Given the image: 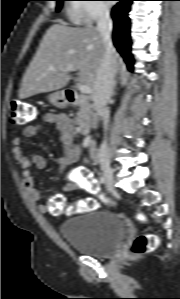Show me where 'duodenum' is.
I'll return each mask as SVG.
<instances>
[{
	"mask_svg": "<svg viewBox=\"0 0 180 299\" xmlns=\"http://www.w3.org/2000/svg\"><path fill=\"white\" fill-rule=\"evenodd\" d=\"M65 98L69 105H80L84 108L88 107V98L84 95H81L76 90H66ZM79 128L83 134H89L92 131V125L88 121L84 120L79 123Z\"/></svg>",
	"mask_w": 180,
	"mask_h": 299,
	"instance_id": "1",
	"label": "duodenum"
}]
</instances>
